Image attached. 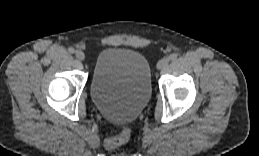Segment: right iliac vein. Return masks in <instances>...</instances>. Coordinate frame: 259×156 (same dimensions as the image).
<instances>
[{
    "label": "right iliac vein",
    "instance_id": "right-iliac-vein-1",
    "mask_svg": "<svg viewBox=\"0 0 259 156\" xmlns=\"http://www.w3.org/2000/svg\"><path fill=\"white\" fill-rule=\"evenodd\" d=\"M75 55H76V57H77L79 60H81V61H83V60L85 59V54H84V52L81 51V50H77L76 53H75Z\"/></svg>",
    "mask_w": 259,
    "mask_h": 156
}]
</instances>
